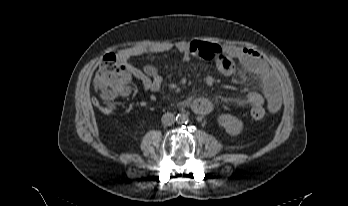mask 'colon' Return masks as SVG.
I'll list each match as a JSON object with an SVG mask.
<instances>
[{
  "label": "colon",
  "instance_id": "5ec220e1",
  "mask_svg": "<svg viewBox=\"0 0 348 206\" xmlns=\"http://www.w3.org/2000/svg\"><path fill=\"white\" fill-rule=\"evenodd\" d=\"M131 80L129 66L116 54L110 53L103 57L95 77V86L106 104L107 113H113L116 98L129 91ZM250 114L256 121H261L266 116L260 105L253 106Z\"/></svg>",
  "mask_w": 348,
  "mask_h": 206
}]
</instances>
